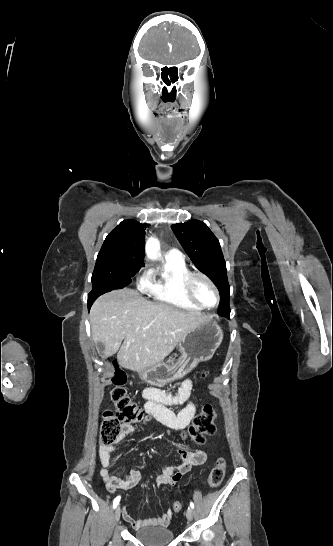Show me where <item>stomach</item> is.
Masks as SVG:
<instances>
[{"instance_id":"obj_1","label":"stomach","mask_w":333,"mask_h":546,"mask_svg":"<svg viewBox=\"0 0 333 546\" xmlns=\"http://www.w3.org/2000/svg\"><path fill=\"white\" fill-rule=\"evenodd\" d=\"M223 339V331L214 318L190 330L179 342L181 357L176 363H157L139 372V377L145 382L164 387L166 384L181 379L191 372L200 362L210 360L219 348Z\"/></svg>"}]
</instances>
